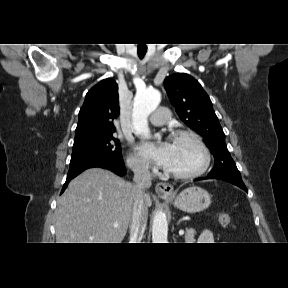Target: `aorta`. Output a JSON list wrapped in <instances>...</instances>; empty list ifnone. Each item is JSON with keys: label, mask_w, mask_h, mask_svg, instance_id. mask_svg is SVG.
<instances>
[{"label": "aorta", "mask_w": 288, "mask_h": 288, "mask_svg": "<svg viewBox=\"0 0 288 288\" xmlns=\"http://www.w3.org/2000/svg\"><path fill=\"white\" fill-rule=\"evenodd\" d=\"M161 101L160 92L154 89H146L137 92L134 97L132 121L135 134L144 138H150L148 116L158 107ZM168 223L166 214L158 211L154 215L152 224V243H168Z\"/></svg>", "instance_id": "1"}]
</instances>
